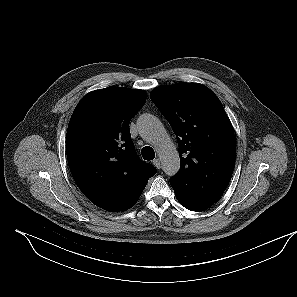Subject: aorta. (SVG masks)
<instances>
[{"instance_id": "obj_1", "label": "aorta", "mask_w": 297, "mask_h": 297, "mask_svg": "<svg viewBox=\"0 0 297 297\" xmlns=\"http://www.w3.org/2000/svg\"><path fill=\"white\" fill-rule=\"evenodd\" d=\"M137 125L141 137L158 152L163 171L169 176L175 175L180 169L179 153L159 119L151 114H143Z\"/></svg>"}]
</instances>
